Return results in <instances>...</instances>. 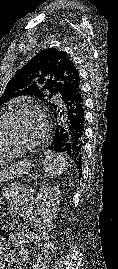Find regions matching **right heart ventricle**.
Returning a JSON list of instances; mask_svg holds the SVG:
<instances>
[{
    "mask_svg": "<svg viewBox=\"0 0 118 269\" xmlns=\"http://www.w3.org/2000/svg\"><path fill=\"white\" fill-rule=\"evenodd\" d=\"M5 115H6V112H0V122L3 120ZM18 153L19 152H4V151H2V149L0 147V159L5 158V157H11V156L16 155Z\"/></svg>",
    "mask_w": 118,
    "mask_h": 269,
    "instance_id": "obj_1",
    "label": "right heart ventricle"
}]
</instances>
